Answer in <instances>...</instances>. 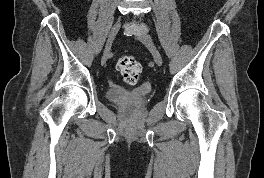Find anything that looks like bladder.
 <instances>
[{"instance_id": "bladder-1", "label": "bladder", "mask_w": 264, "mask_h": 178, "mask_svg": "<svg viewBox=\"0 0 264 178\" xmlns=\"http://www.w3.org/2000/svg\"><path fill=\"white\" fill-rule=\"evenodd\" d=\"M107 99L112 103H121L126 101H132L134 96L132 93L124 90H120L115 87H109L106 91Z\"/></svg>"}]
</instances>
